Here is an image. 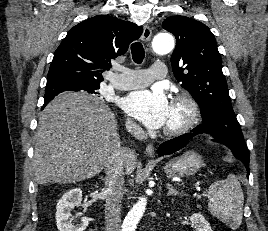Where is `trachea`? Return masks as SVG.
<instances>
[{
  "label": "trachea",
  "mask_w": 268,
  "mask_h": 231,
  "mask_svg": "<svg viewBox=\"0 0 268 231\" xmlns=\"http://www.w3.org/2000/svg\"><path fill=\"white\" fill-rule=\"evenodd\" d=\"M131 53H132V59L136 64L142 63L145 51L144 47L140 42H134L131 44Z\"/></svg>",
  "instance_id": "trachea-1"
}]
</instances>
